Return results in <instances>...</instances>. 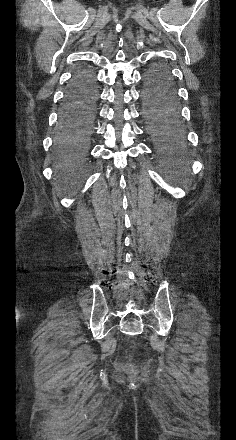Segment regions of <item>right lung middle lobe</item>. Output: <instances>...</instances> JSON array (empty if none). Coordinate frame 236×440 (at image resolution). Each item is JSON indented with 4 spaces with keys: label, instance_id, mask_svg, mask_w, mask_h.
Returning <instances> with one entry per match:
<instances>
[{
    "label": "right lung middle lobe",
    "instance_id": "right-lung-middle-lobe-1",
    "mask_svg": "<svg viewBox=\"0 0 236 440\" xmlns=\"http://www.w3.org/2000/svg\"><path fill=\"white\" fill-rule=\"evenodd\" d=\"M75 93L71 98H75ZM79 97L83 100L80 109L81 120L73 127L59 130L55 137L56 152L62 163H71L82 158L86 151V144L91 134V122L94 116V107L97 99L95 83H86L81 89Z\"/></svg>",
    "mask_w": 236,
    "mask_h": 440
}]
</instances>
